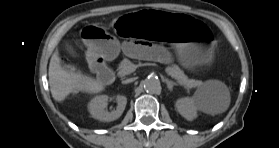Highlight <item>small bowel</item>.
I'll use <instances>...</instances> for the list:
<instances>
[{"label": "small bowel", "mask_w": 279, "mask_h": 148, "mask_svg": "<svg viewBox=\"0 0 279 148\" xmlns=\"http://www.w3.org/2000/svg\"><path fill=\"white\" fill-rule=\"evenodd\" d=\"M123 53L131 58L168 62L169 53L161 46L143 40L127 39L122 44Z\"/></svg>", "instance_id": "c3829d8e"}]
</instances>
